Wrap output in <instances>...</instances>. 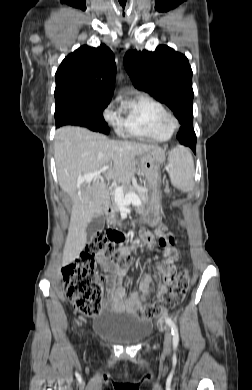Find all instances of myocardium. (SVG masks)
Segmentation results:
<instances>
[{
	"mask_svg": "<svg viewBox=\"0 0 252 390\" xmlns=\"http://www.w3.org/2000/svg\"><path fill=\"white\" fill-rule=\"evenodd\" d=\"M160 120H161L162 126L166 129L170 130L171 132L173 130H175L179 125V121H178V118L176 117V115L173 112L168 111V110H165L163 112Z\"/></svg>",
	"mask_w": 252,
	"mask_h": 390,
	"instance_id": "f54148a6",
	"label": "myocardium"
}]
</instances>
